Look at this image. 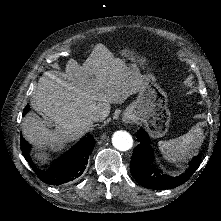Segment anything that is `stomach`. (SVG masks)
<instances>
[{
    "mask_svg": "<svg viewBox=\"0 0 221 221\" xmlns=\"http://www.w3.org/2000/svg\"><path fill=\"white\" fill-rule=\"evenodd\" d=\"M125 116L129 121L142 124L151 138L158 139L167 134L171 122L168 96L154 77L149 79L144 74L140 78L137 96Z\"/></svg>",
    "mask_w": 221,
    "mask_h": 221,
    "instance_id": "0dacf381",
    "label": "stomach"
}]
</instances>
